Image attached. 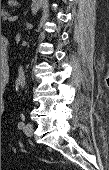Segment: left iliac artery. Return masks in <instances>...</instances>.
Listing matches in <instances>:
<instances>
[{"instance_id": "1", "label": "left iliac artery", "mask_w": 109, "mask_h": 170, "mask_svg": "<svg viewBox=\"0 0 109 170\" xmlns=\"http://www.w3.org/2000/svg\"><path fill=\"white\" fill-rule=\"evenodd\" d=\"M24 126H25V123H24V122H19V123H18V128H19V129H23Z\"/></svg>"}]
</instances>
